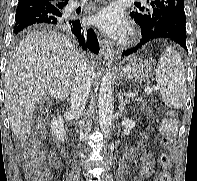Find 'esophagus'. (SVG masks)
I'll return each instance as SVG.
<instances>
[{
	"instance_id": "34e87169",
	"label": "esophagus",
	"mask_w": 197,
	"mask_h": 181,
	"mask_svg": "<svg viewBox=\"0 0 197 181\" xmlns=\"http://www.w3.org/2000/svg\"><path fill=\"white\" fill-rule=\"evenodd\" d=\"M101 52L104 55L105 60H114L117 55L111 42L107 39H102L101 41Z\"/></svg>"
}]
</instances>
